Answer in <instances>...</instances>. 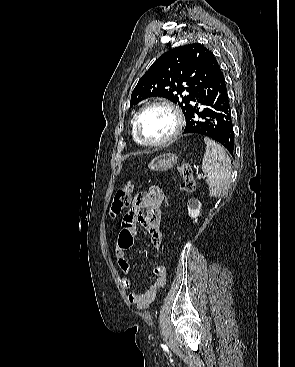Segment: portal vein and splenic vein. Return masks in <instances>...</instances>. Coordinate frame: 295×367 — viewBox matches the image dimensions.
I'll use <instances>...</instances> for the list:
<instances>
[{
    "instance_id": "portal-vein-and-splenic-vein-1",
    "label": "portal vein and splenic vein",
    "mask_w": 295,
    "mask_h": 367,
    "mask_svg": "<svg viewBox=\"0 0 295 367\" xmlns=\"http://www.w3.org/2000/svg\"><path fill=\"white\" fill-rule=\"evenodd\" d=\"M197 178H198V180H201V179H204V178H205V176H204L203 174H198V175H197Z\"/></svg>"
}]
</instances>
